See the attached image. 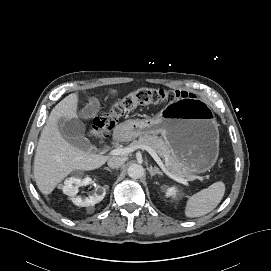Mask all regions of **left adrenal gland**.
I'll use <instances>...</instances> for the list:
<instances>
[{
  "mask_svg": "<svg viewBox=\"0 0 271 271\" xmlns=\"http://www.w3.org/2000/svg\"><path fill=\"white\" fill-rule=\"evenodd\" d=\"M149 173L151 176H155V175H158V176H163V173L159 171V169L157 167H150L148 169Z\"/></svg>",
  "mask_w": 271,
  "mask_h": 271,
  "instance_id": "a2214340",
  "label": "left adrenal gland"
}]
</instances>
